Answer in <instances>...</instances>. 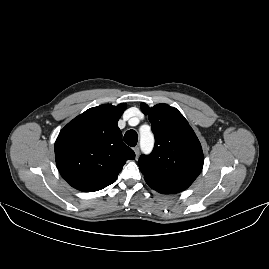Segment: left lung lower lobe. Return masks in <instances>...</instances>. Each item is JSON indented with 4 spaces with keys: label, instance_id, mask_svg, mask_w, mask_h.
Listing matches in <instances>:
<instances>
[{
    "label": "left lung lower lobe",
    "instance_id": "0a47b994",
    "mask_svg": "<svg viewBox=\"0 0 269 269\" xmlns=\"http://www.w3.org/2000/svg\"><path fill=\"white\" fill-rule=\"evenodd\" d=\"M146 182L152 189L163 194L179 193L188 188L182 185L164 184V183L155 182L153 180H146Z\"/></svg>",
    "mask_w": 269,
    "mask_h": 269
}]
</instances>
